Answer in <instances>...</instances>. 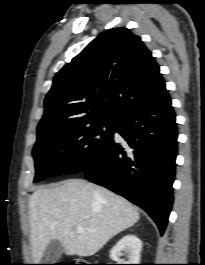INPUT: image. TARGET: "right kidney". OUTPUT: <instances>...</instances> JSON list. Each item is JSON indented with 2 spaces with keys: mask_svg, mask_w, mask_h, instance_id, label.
I'll use <instances>...</instances> for the list:
<instances>
[{
  "mask_svg": "<svg viewBox=\"0 0 205 265\" xmlns=\"http://www.w3.org/2000/svg\"><path fill=\"white\" fill-rule=\"evenodd\" d=\"M141 249V240L137 236L129 234L121 238L111 249L110 258L118 261L119 264H139ZM121 251H124L128 255L126 262L119 258Z\"/></svg>",
  "mask_w": 205,
  "mask_h": 265,
  "instance_id": "ca27d5eb",
  "label": "right kidney"
}]
</instances>
